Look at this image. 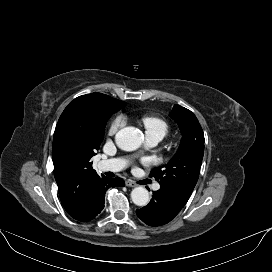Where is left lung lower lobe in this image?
Listing matches in <instances>:
<instances>
[{"label": "left lung lower lobe", "mask_w": 272, "mask_h": 272, "mask_svg": "<svg viewBox=\"0 0 272 272\" xmlns=\"http://www.w3.org/2000/svg\"><path fill=\"white\" fill-rule=\"evenodd\" d=\"M186 202L172 192L161 188L153 192L149 204L136 210L137 216L149 226H161L170 222L184 207Z\"/></svg>", "instance_id": "left-lung-lower-lobe-1"}]
</instances>
